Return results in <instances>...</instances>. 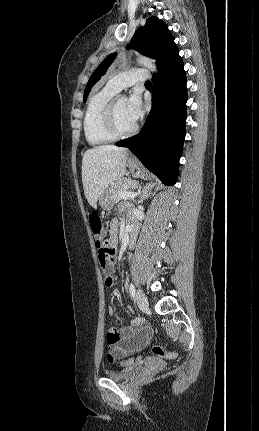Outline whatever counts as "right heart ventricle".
Segmentation results:
<instances>
[{
    "label": "right heart ventricle",
    "instance_id": "e07e8e85",
    "mask_svg": "<svg viewBox=\"0 0 259 431\" xmlns=\"http://www.w3.org/2000/svg\"><path fill=\"white\" fill-rule=\"evenodd\" d=\"M116 93L113 89L105 86L88 100L83 117V131L86 141L91 146L106 145L116 139L108 133L103 121L105 106Z\"/></svg>",
    "mask_w": 259,
    "mask_h": 431
}]
</instances>
